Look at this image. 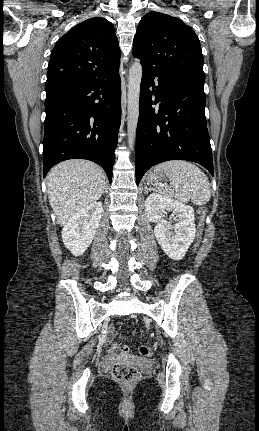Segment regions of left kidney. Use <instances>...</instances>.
<instances>
[{
  "mask_svg": "<svg viewBox=\"0 0 259 431\" xmlns=\"http://www.w3.org/2000/svg\"><path fill=\"white\" fill-rule=\"evenodd\" d=\"M145 211L148 220L157 223L154 234L163 251L171 259L181 260L195 238L194 209L168 196L152 193L145 201ZM166 211L176 215L175 232L169 231L173 227L164 219Z\"/></svg>",
  "mask_w": 259,
  "mask_h": 431,
  "instance_id": "left-kidney-1",
  "label": "left kidney"
}]
</instances>
